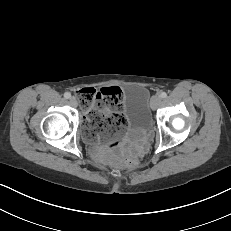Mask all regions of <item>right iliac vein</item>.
<instances>
[{
  "instance_id": "1",
  "label": "right iliac vein",
  "mask_w": 231,
  "mask_h": 231,
  "mask_svg": "<svg viewBox=\"0 0 231 231\" xmlns=\"http://www.w3.org/2000/svg\"><path fill=\"white\" fill-rule=\"evenodd\" d=\"M70 105L73 107H77L78 106V101L75 98H71L70 99Z\"/></svg>"
}]
</instances>
